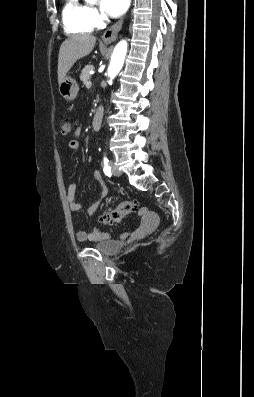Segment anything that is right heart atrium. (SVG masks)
<instances>
[{
  "instance_id": "1",
  "label": "right heart atrium",
  "mask_w": 254,
  "mask_h": 397,
  "mask_svg": "<svg viewBox=\"0 0 254 397\" xmlns=\"http://www.w3.org/2000/svg\"><path fill=\"white\" fill-rule=\"evenodd\" d=\"M89 16H90L91 22L93 23V25L95 27H98L101 25V23L103 21V17L96 8H94V7L89 8Z\"/></svg>"
}]
</instances>
